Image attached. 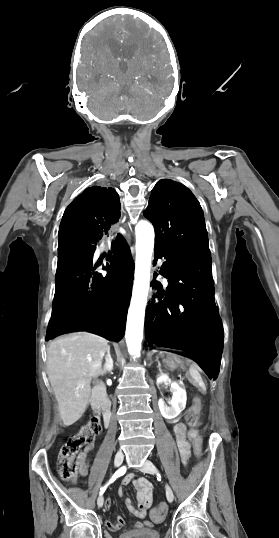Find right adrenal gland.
<instances>
[{"label": "right adrenal gland", "instance_id": "right-adrenal-gland-1", "mask_svg": "<svg viewBox=\"0 0 279 538\" xmlns=\"http://www.w3.org/2000/svg\"><path fill=\"white\" fill-rule=\"evenodd\" d=\"M106 362L103 366V374H106V372H111V370H113V360L111 358V354H110V346H108V350H107V356L105 358Z\"/></svg>", "mask_w": 279, "mask_h": 538}]
</instances>
